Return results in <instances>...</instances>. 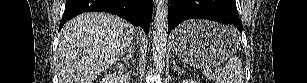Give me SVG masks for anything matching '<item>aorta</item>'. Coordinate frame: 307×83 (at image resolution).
Segmentation results:
<instances>
[{
	"label": "aorta",
	"mask_w": 307,
	"mask_h": 83,
	"mask_svg": "<svg viewBox=\"0 0 307 83\" xmlns=\"http://www.w3.org/2000/svg\"><path fill=\"white\" fill-rule=\"evenodd\" d=\"M168 35V1L159 0L154 18L152 54L154 66L161 70L165 66Z\"/></svg>",
	"instance_id": "1"
}]
</instances>
